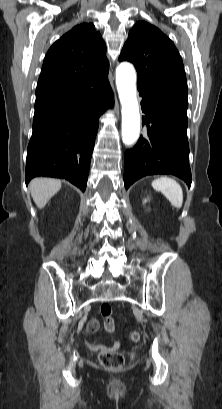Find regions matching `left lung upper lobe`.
<instances>
[{
    "mask_svg": "<svg viewBox=\"0 0 222 409\" xmlns=\"http://www.w3.org/2000/svg\"><path fill=\"white\" fill-rule=\"evenodd\" d=\"M130 61L138 73L140 95L187 101V80L173 42L158 28L138 21L129 32L119 61Z\"/></svg>",
    "mask_w": 222,
    "mask_h": 409,
    "instance_id": "5c2ea615",
    "label": "left lung upper lobe"
}]
</instances>
